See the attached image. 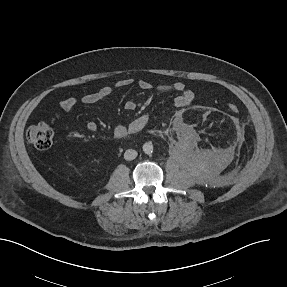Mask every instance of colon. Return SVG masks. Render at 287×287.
<instances>
[{
  "mask_svg": "<svg viewBox=\"0 0 287 287\" xmlns=\"http://www.w3.org/2000/svg\"><path fill=\"white\" fill-rule=\"evenodd\" d=\"M228 109L233 113H237L239 106L236 103H230ZM27 139L36 149L46 150L52 145L53 129L46 122L32 124L27 130Z\"/></svg>",
  "mask_w": 287,
  "mask_h": 287,
  "instance_id": "1",
  "label": "colon"
}]
</instances>
